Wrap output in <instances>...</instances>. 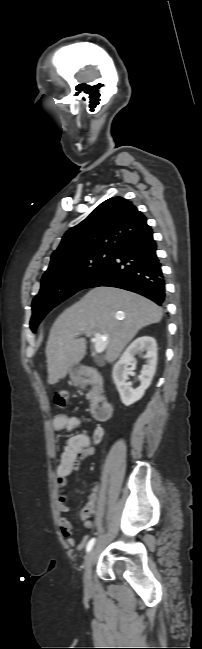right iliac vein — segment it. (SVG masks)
I'll return each mask as SVG.
<instances>
[{
    "instance_id": "1",
    "label": "right iliac vein",
    "mask_w": 202,
    "mask_h": 649,
    "mask_svg": "<svg viewBox=\"0 0 202 649\" xmlns=\"http://www.w3.org/2000/svg\"><path fill=\"white\" fill-rule=\"evenodd\" d=\"M96 557V548H92L85 560V570L83 575L84 588L87 592L92 589V567Z\"/></svg>"
}]
</instances>
